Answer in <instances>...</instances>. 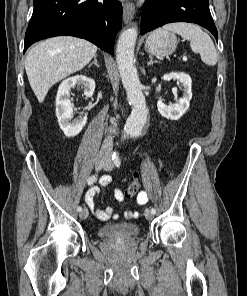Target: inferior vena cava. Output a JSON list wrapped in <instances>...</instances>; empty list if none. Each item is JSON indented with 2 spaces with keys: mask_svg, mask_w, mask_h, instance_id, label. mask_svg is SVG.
<instances>
[{
  "mask_svg": "<svg viewBox=\"0 0 247 296\" xmlns=\"http://www.w3.org/2000/svg\"><path fill=\"white\" fill-rule=\"evenodd\" d=\"M112 144H113V142H112V137H111L110 135H108V136L105 138V140H104V142H103V144H102V148H101V150H102V151H111V149H112Z\"/></svg>",
  "mask_w": 247,
  "mask_h": 296,
  "instance_id": "602c4592",
  "label": "inferior vena cava"
}]
</instances>
